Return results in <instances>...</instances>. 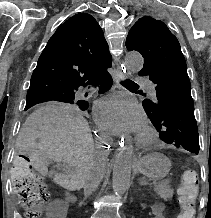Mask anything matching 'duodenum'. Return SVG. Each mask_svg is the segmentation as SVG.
Returning <instances> with one entry per match:
<instances>
[{
  "label": "duodenum",
  "instance_id": "duodenum-1",
  "mask_svg": "<svg viewBox=\"0 0 211 218\" xmlns=\"http://www.w3.org/2000/svg\"><path fill=\"white\" fill-rule=\"evenodd\" d=\"M66 199H67V201H68L69 203H71V204H75V202H76L75 196L72 195L71 193H67Z\"/></svg>",
  "mask_w": 211,
  "mask_h": 218
}]
</instances>
